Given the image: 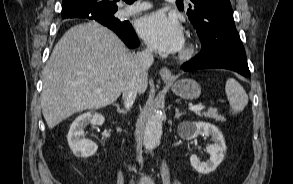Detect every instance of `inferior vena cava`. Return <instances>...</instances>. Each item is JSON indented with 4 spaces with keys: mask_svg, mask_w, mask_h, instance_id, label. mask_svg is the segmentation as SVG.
Instances as JSON below:
<instances>
[{
    "mask_svg": "<svg viewBox=\"0 0 293 184\" xmlns=\"http://www.w3.org/2000/svg\"><path fill=\"white\" fill-rule=\"evenodd\" d=\"M154 61L153 50L147 47L141 52H137L133 58V77L126 85L122 92V98L126 109H130L136 99L137 93L139 92L142 83L147 77V70Z\"/></svg>",
    "mask_w": 293,
    "mask_h": 184,
    "instance_id": "inferior-vena-cava-1",
    "label": "inferior vena cava"
}]
</instances>
